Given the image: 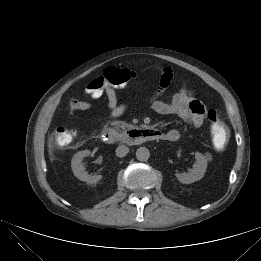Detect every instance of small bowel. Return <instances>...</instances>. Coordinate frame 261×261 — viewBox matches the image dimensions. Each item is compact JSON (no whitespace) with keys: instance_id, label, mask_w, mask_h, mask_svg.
<instances>
[{"instance_id":"1","label":"small bowel","mask_w":261,"mask_h":261,"mask_svg":"<svg viewBox=\"0 0 261 261\" xmlns=\"http://www.w3.org/2000/svg\"><path fill=\"white\" fill-rule=\"evenodd\" d=\"M173 71L169 67H165L160 76L159 88L157 93L151 99V108L161 115H177L193 127H200L203 124L206 109L204 105L195 98L193 93L183 85L178 93H176L171 101L165 102L160 99V95L168 88L172 79ZM125 86L115 87L107 85L103 94L107 99V114L110 119L121 116L128 108L126 103L118 101L117 90L123 89ZM97 99V98H95ZM92 102L73 98L69 102V107L73 111H86L92 107ZM161 139L164 141H176L180 134L176 129L161 132Z\"/></svg>"}]
</instances>
